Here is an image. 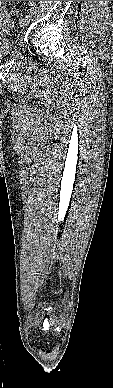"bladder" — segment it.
<instances>
[{"instance_id":"obj_1","label":"bladder","mask_w":113,"mask_h":388,"mask_svg":"<svg viewBox=\"0 0 113 388\" xmlns=\"http://www.w3.org/2000/svg\"><path fill=\"white\" fill-rule=\"evenodd\" d=\"M12 22L6 15L0 20V60L9 56L12 52V45L9 41L2 37L10 32L12 29Z\"/></svg>"}]
</instances>
